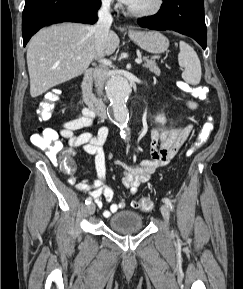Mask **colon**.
Returning a JSON list of instances; mask_svg holds the SVG:
<instances>
[{
  "instance_id": "obj_1",
  "label": "colon",
  "mask_w": 243,
  "mask_h": 289,
  "mask_svg": "<svg viewBox=\"0 0 243 289\" xmlns=\"http://www.w3.org/2000/svg\"><path fill=\"white\" fill-rule=\"evenodd\" d=\"M182 88L197 99L208 100V88L206 86L191 87L183 84ZM59 99V92L52 91L45 95L37 109L39 120H48L55 109L56 102ZM214 125L211 118L203 123L201 129L196 137L194 145L188 151V155H192L197 149L203 146L208 140ZM31 142L38 148L44 150L52 163L59 165L66 173L74 172L76 165L72 154L63 149V145L59 140L58 134L55 130L50 128H40L38 132L31 135ZM133 206L148 212L154 208V204L149 198H141L133 203Z\"/></svg>"
}]
</instances>
